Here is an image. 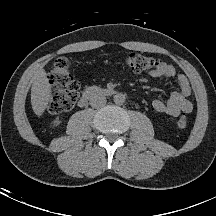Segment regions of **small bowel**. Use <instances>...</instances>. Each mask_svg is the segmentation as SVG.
I'll return each mask as SVG.
<instances>
[{
	"instance_id": "1",
	"label": "small bowel",
	"mask_w": 216,
	"mask_h": 216,
	"mask_svg": "<svg viewBox=\"0 0 216 216\" xmlns=\"http://www.w3.org/2000/svg\"><path fill=\"white\" fill-rule=\"evenodd\" d=\"M150 75L152 77L162 79L176 78L179 86V89L177 91H173L167 101L155 99L152 102V107L155 111L174 117L182 113H190L192 111L193 104L189 99L192 88L185 75L177 74L173 65L162 61L160 63V67L157 70L151 71Z\"/></svg>"
}]
</instances>
